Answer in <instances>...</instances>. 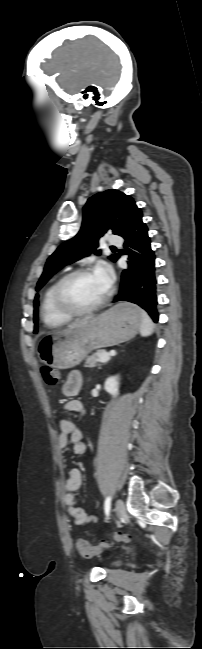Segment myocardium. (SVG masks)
<instances>
[{
	"label": "myocardium",
	"instance_id": "f54148a6",
	"mask_svg": "<svg viewBox=\"0 0 202 649\" xmlns=\"http://www.w3.org/2000/svg\"><path fill=\"white\" fill-rule=\"evenodd\" d=\"M92 272L91 267H80L75 270L70 271L66 275H64L56 284L55 289H54V301L57 305V307L65 314H68L70 316H85L88 314H91L95 311H97L99 308H101L109 299L111 295V290L110 288L107 289L106 293L104 296L96 302L94 305L87 307V308H77L74 307L67 299L66 294H65V289L68 283L74 279L77 276L80 275H85L88 273Z\"/></svg>",
	"mask_w": 202,
	"mask_h": 649
}]
</instances>
